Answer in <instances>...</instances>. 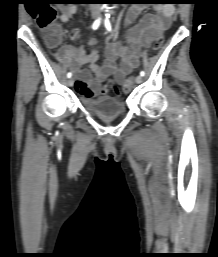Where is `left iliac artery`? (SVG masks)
Returning a JSON list of instances; mask_svg holds the SVG:
<instances>
[{
	"instance_id": "left-iliac-artery-1",
	"label": "left iliac artery",
	"mask_w": 218,
	"mask_h": 257,
	"mask_svg": "<svg viewBox=\"0 0 218 257\" xmlns=\"http://www.w3.org/2000/svg\"><path fill=\"white\" fill-rule=\"evenodd\" d=\"M109 17H110L109 14H107V15H106V19H105V27H106V29H107L109 32H111V31H112V27H111V23H110ZM140 75H141V76H144V75H145L144 71H141V72H140Z\"/></svg>"
}]
</instances>
